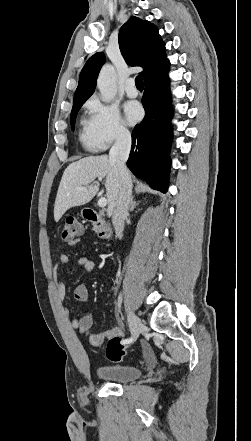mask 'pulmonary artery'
I'll return each instance as SVG.
<instances>
[{"instance_id": "obj_1", "label": "pulmonary artery", "mask_w": 251, "mask_h": 441, "mask_svg": "<svg viewBox=\"0 0 251 441\" xmlns=\"http://www.w3.org/2000/svg\"><path fill=\"white\" fill-rule=\"evenodd\" d=\"M125 90L129 97L138 96V89L136 88L135 81L132 78L127 80Z\"/></svg>"}]
</instances>
